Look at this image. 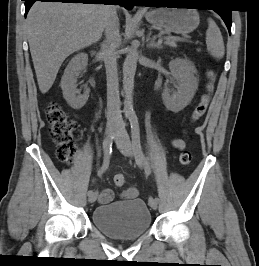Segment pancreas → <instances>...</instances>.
Returning <instances> with one entry per match:
<instances>
[{
	"instance_id": "pancreas-1",
	"label": "pancreas",
	"mask_w": 259,
	"mask_h": 266,
	"mask_svg": "<svg viewBox=\"0 0 259 266\" xmlns=\"http://www.w3.org/2000/svg\"><path fill=\"white\" fill-rule=\"evenodd\" d=\"M165 45H168L170 47H176V42L175 41H172V40H167L165 39V42H164Z\"/></svg>"
}]
</instances>
